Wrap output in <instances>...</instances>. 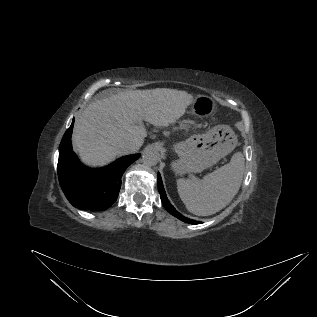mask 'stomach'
Segmentation results:
<instances>
[{
    "mask_svg": "<svg viewBox=\"0 0 317 317\" xmlns=\"http://www.w3.org/2000/svg\"><path fill=\"white\" fill-rule=\"evenodd\" d=\"M210 115L215 110L212 98L199 95L195 99ZM237 145V136L227 125H217L205 134H194L185 141L176 143L173 148L179 159L172 163L176 174L199 173L216 164L221 158L229 154Z\"/></svg>",
    "mask_w": 317,
    "mask_h": 317,
    "instance_id": "obj_1",
    "label": "stomach"
}]
</instances>
